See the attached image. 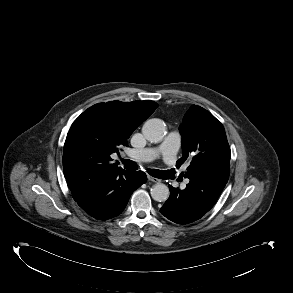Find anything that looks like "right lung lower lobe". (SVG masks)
<instances>
[{"label": "right lung lower lobe", "instance_id": "obj_1", "mask_svg": "<svg viewBox=\"0 0 293 293\" xmlns=\"http://www.w3.org/2000/svg\"><path fill=\"white\" fill-rule=\"evenodd\" d=\"M146 181L147 176L142 171L129 172L118 168L104 172L86 183V187L94 196L101 201H107L112 206L109 215L99 220L110 219L121 214L131 194Z\"/></svg>", "mask_w": 293, "mask_h": 293}]
</instances>
